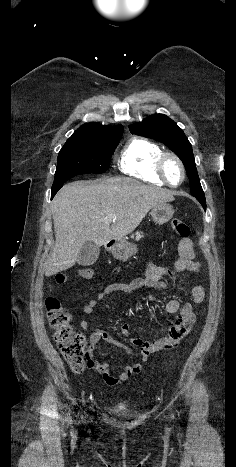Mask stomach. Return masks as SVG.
Instances as JSON below:
<instances>
[{
  "mask_svg": "<svg viewBox=\"0 0 236 467\" xmlns=\"http://www.w3.org/2000/svg\"><path fill=\"white\" fill-rule=\"evenodd\" d=\"M174 214V209L170 204L160 203L151 210V216L156 224L162 225L168 222ZM111 253L118 260H127L136 254L137 246L125 240L115 242L111 248Z\"/></svg>",
  "mask_w": 236,
  "mask_h": 467,
  "instance_id": "1",
  "label": "stomach"
}]
</instances>
